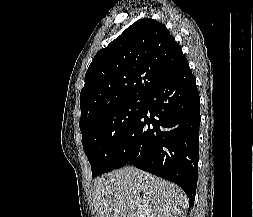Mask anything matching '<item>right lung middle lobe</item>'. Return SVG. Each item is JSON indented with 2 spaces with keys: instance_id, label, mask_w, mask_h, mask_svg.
Instances as JSON below:
<instances>
[{
  "instance_id": "dd1d6c3e",
  "label": "right lung middle lobe",
  "mask_w": 253,
  "mask_h": 217,
  "mask_svg": "<svg viewBox=\"0 0 253 217\" xmlns=\"http://www.w3.org/2000/svg\"><path fill=\"white\" fill-rule=\"evenodd\" d=\"M144 108L145 97L127 99L105 108L79 125L92 176L111 170L115 154Z\"/></svg>"
}]
</instances>
